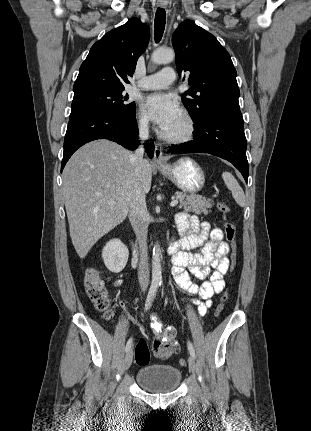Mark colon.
<instances>
[{"mask_svg": "<svg viewBox=\"0 0 311 431\" xmlns=\"http://www.w3.org/2000/svg\"><path fill=\"white\" fill-rule=\"evenodd\" d=\"M219 212L223 216V227L224 235L227 243L231 247L229 268L233 271L237 266V248H236V226L228 218L230 213V206L225 202H219L217 204ZM84 286L86 293L92 301L95 309L105 318L106 320H112L114 318V309L110 299L105 291L100 272L97 268H88L84 273ZM228 300V292H224L221 297L220 303L216 308V314H220L223 310L226 301ZM152 351L158 358H168L177 351V344L174 341L167 340L165 338L157 339L152 345ZM150 360V351L147 343L144 340H140L135 350V361L138 365L143 366L148 364ZM180 366L186 365L185 359L179 360Z\"/></svg>", "mask_w": 311, "mask_h": 431, "instance_id": "1", "label": "colon"}]
</instances>
